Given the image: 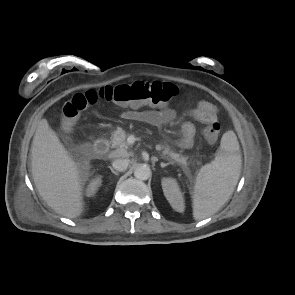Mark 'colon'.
Returning <instances> with one entry per match:
<instances>
[{
  "mask_svg": "<svg viewBox=\"0 0 295 295\" xmlns=\"http://www.w3.org/2000/svg\"><path fill=\"white\" fill-rule=\"evenodd\" d=\"M178 94V88L165 82L136 81L133 83L109 85L74 95L63 106V126L71 123L89 106L98 101H107L119 106L138 108L144 105L163 107ZM220 125L217 120L205 122L202 135L210 142L217 139Z\"/></svg>",
  "mask_w": 295,
  "mask_h": 295,
  "instance_id": "obj_1",
  "label": "colon"
}]
</instances>
